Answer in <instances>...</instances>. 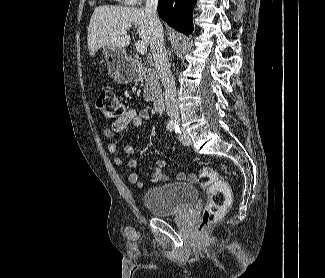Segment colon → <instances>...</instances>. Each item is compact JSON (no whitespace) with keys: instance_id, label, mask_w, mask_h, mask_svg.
Segmentation results:
<instances>
[{"instance_id":"1","label":"colon","mask_w":325,"mask_h":278,"mask_svg":"<svg viewBox=\"0 0 325 278\" xmlns=\"http://www.w3.org/2000/svg\"><path fill=\"white\" fill-rule=\"evenodd\" d=\"M95 109L108 120H117L125 114L124 103L109 89L98 92ZM189 179L195 181L193 176ZM197 181L208 192V202L198 223V230L204 232L211 224L222 219L231 203L232 194L228 184L211 167L200 168Z\"/></svg>"}]
</instances>
